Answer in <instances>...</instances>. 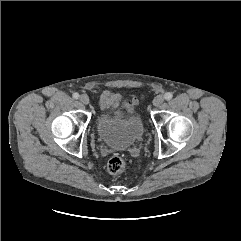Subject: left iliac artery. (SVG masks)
<instances>
[{"mask_svg":"<svg viewBox=\"0 0 241 241\" xmlns=\"http://www.w3.org/2000/svg\"><path fill=\"white\" fill-rule=\"evenodd\" d=\"M172 97H173V95H172L171 92H167V93H165V95H164V98H165L166 100H168V101L171 100Z\"/></svg>","mask_w":241,"mask_h":241,"instance_id":"1","label":"left iliac artery"}]
</instances>
